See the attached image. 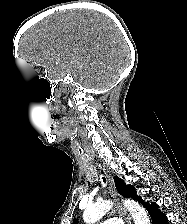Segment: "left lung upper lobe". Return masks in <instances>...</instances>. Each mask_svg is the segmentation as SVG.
Returning <instances> with one entry per match:
<instances>
[{"label": "left lung upper lobe", "mask_w": 187, "mask_h": 224, "mask_svg": "<svg viewBox=\"0 0 187 224\" xmlns=\"http://www.w3.org/2000/svg\"><path fill=\"white\" fill-rule=\"evenodd\" d=\"M114 182H115L117 191L122 196L131 197L138 200L139 202H143L142 198L136 195L135 188L132 185H126L124 181L117 176L114 177ZM73 224H76V220L73 221Z\"/></svg>", "instance_id": "1"}]
</instances>
